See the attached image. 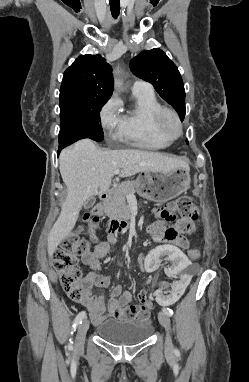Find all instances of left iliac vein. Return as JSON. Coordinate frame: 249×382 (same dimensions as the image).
Instances as JSON below:
<instances>
[{
    "mask_svg": "<svg viewBox=\"0 0 249 382\" xmlns=\"http://www.w3.org/2000/svg\"><path fill=\"white\" fill-rule=\"evenodd\" d=\"M158 319L160 323L166 329V340H165V349L166 351H171L173 349L171 335H170V318L165 312L158 313Z\"/></svg>",
    "mask_w": 249,
    "mask_h": 382,
    "instance_id": "left-iliac-vein-1",
    "label": "left iliac vein"
}]
</instances>
